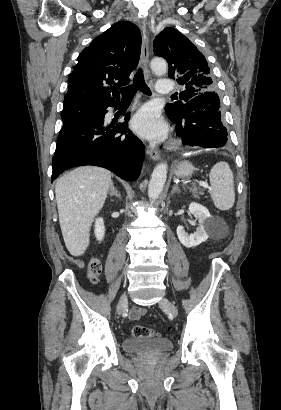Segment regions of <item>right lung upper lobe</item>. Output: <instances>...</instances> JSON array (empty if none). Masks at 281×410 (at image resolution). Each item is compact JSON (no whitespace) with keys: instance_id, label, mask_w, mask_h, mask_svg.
I'll list each match as a JSON object with an SVG mask.
<instances>
[{"instance_id":"obj_1","label":"right lung upper lobe","mask_w":281,"mask_h":410,"mask_svg":"<svg viewBox=\"0 0 281 410\" xmlns=\"http://www.w3.org/2000/svg\"><path fill=\"white\" fill-rule=\"evenodd\" d=\"M140 49L141 33L131 22L119 21L96 37L79 54L75 69L68 76L63 108L100 107L119 100L115 86L129 83Z\"/></svg>"}]
</instances>
